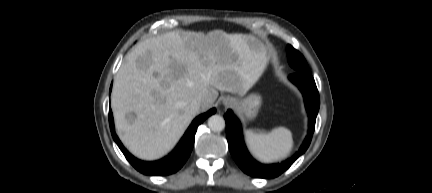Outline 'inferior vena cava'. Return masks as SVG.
Instances as JSON below:
<instances>
[{"mask_svg": "<svg viewBox=\"0 0 432 193\" xmlns=\"http://www.w3.org/2000/svg\"><path fill=\"white\" fill-rule=\"evenodd\" d=\"M202 100L200 98L195 99L191 102L190 106L193 110L198 111L200 109Z\"/></svg>", "mask_w": 432, "mask_h": 193, "instance_id": "obj_1", "label": "inferior vena cava"}]
</instances>
